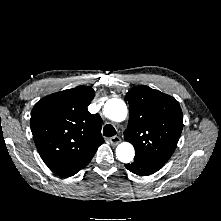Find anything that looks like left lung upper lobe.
<instances>
[{
  "label": "left lung upper lobe",
  "mask_w": 221,
  "mask_h": 221,
  "mask_svg": "<svg viewBox=\"0 0 221 221\" xmlns=\"http://www.w3.org/2000/svg\"><path fill=\"white\" fill-rule=\"evenodd\" d=\"M126 99L130 118L124 137L134 146L135 157L166 163L183 128L178 101L145 85L132 88Z\"/></svg>",
  "instance_id": "5c2ea615"
}]
</instances>
